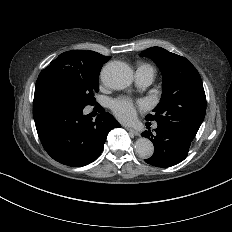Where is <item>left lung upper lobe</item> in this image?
Here are the masks:
<instances>
[{
  "mask_svg": "<svg viewBox=\"0 0 232 232\" xmlns=\"http://www.w3.org/2000/svg\"><path fill=\"white\" fill-rule=\"evenodd\" d=\"M151 58L163 75V93L159 104L147 120L171 127L188 138L195 137L206 113V96L197 69L184 57L161 47L141 53Z\"/></svg>",
  "mask_w": 232,
  "mask_h": 232,
  "instance_id": "obj_1",
  "label": "left lung upper lobe"
}]
</instances>
